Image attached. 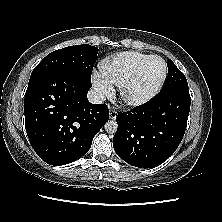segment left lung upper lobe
I'll return each mask as SVG.
<instances>
[{"instance_id": "5c2ea615", "label": "left lung upper lobe", "mask_w": 222, "mask_h": 222, "mask_svg": "<svg viewBox=\"0 0 222 222\" xmlns=\"http://www.w3.org/2000/svg\"><path fill=\"white\" fill-rule=\"evenodd\" d=\"M168 76L163 90L171 88H188L185 75L170 60H167Z\"/></svg>"}]
</instances>
